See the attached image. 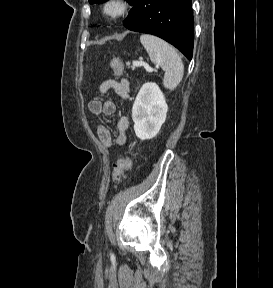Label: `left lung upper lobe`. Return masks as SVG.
Wrapping results in <instances>:
<instances>
[{"instance_id":"1","label":"left lung upper lobe","mask_w":273,"mask_h":288,"mask_svg":"<svg viewBox=\"0 0 273 288\" xmlns=\"http://www.w3.org/2000/svg\"><path fill=\"white\" fill-rule=\"evenodd\" d=\"M105 1H107V0H89V2L91 3V4H94V3H103V2H105ZM131 5H133V3L135 2V0H127Z\"/></svg>"}]
</instances>
